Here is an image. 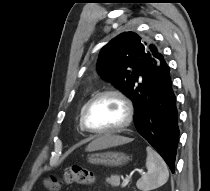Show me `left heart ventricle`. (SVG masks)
<instances>
[{
    "mask_svg": "<svg viewBox=\"0 0 210 191\" xmlns=\"http://www.w3.org/2000/svg\"><path fill=\"white\" fill-rule=\"evenodd\" d=\"M125 107L114 96H106L96 101L87 115L91 128L107 129L120 125L125 119Z\"/></svg>",
    "mask_w": 210,
    "mask_h": 191,
    "instance_id": "1",
    "label": "left heart ventricle"
}]
</instances>
